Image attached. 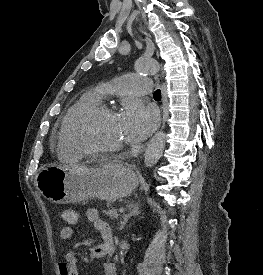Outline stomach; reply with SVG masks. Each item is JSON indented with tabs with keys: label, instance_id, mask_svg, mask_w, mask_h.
<instances>
[{
	"label": "stomach",
	"instance_id": "stomach-1",
	"mask_svg": "<svg viewBox=\"0 0 263 275\" xmlns=\"http://www.w3.org/2000/svg\"><path fill=\"white\" fill-rule=\"evenodd\" d=\"M35 184L44 198L56 204L92 198L112 203L131 195L137 178L129 167L120 163H103L96 167L48 166L38 173Z\"/></svg>",
	"mask_w": 263,
	"mask_h": 275
}]
</instances>
